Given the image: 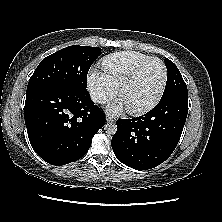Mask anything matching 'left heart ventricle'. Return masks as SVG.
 <instances>
[{
  "label": "left heart ventricle",
  "instance_id": "obj_1",
  "mask_svg": "<svg viewBox=\"0 0 222 222\" xmlns=\"http://www.w3.org/2000/svg\"><path fill=\"white\" fill-rule=\"evenodd\" d=\"M162 79L163 69L159 62L151 61L145 65L121 94L126 107L137 108L151 101L158 93Z\"/></svg>",
  "mask_w": 222,
  "mask_h": 222
}]
</instances>
